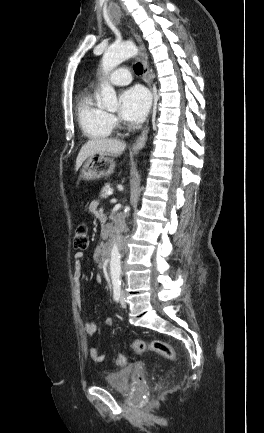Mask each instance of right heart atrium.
<instances>
[{
    "label": "right heart atrium",
    "instance_id": "obj_1",
    "mask_svg": "<svg viewBox=\"0 0 264 433\" xmlns=\"http://www.w3.org/2000/svg\"><path fill=\"white\" fill-rule=\"evenodd\" d=\"M110 119H111V122H114L115 121V119H114V117H110Z\"/></svg>",
    "mask_w": 264,
    "mask_h": 433
}]
</instances>
